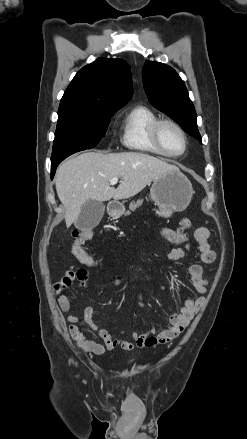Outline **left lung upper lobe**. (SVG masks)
<instances>
[{"label": "left lung upper lobe", "mask_w": 247, "mask_h": 439, "mask_svg": "<svg viewBox=\"0 0 247 439\" xmlns=\"http://www.w3.org/2000/svg\"><path fill=\"white\" fill-rule=\"evenodd\" d=\"M142 80L150 103L175 120L186 133L201 139L195 108L176 71L168 65L146 61Z\"/></svg>", "instance_id": "5c2ea615"}]
</instances>
